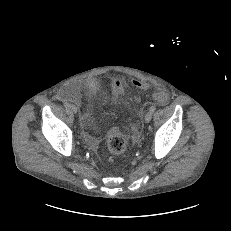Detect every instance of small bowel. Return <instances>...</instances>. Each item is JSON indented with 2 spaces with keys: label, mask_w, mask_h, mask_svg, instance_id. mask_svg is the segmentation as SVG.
I'll list each match as a JSON object with an SVG mask.
<instances>
[{
  "label": "small bowel",
  "mask_w": 231,
  "mask_h": 231,
  "mask_svg": "<svg viewBox=\"0 0 231 231\" xmlns=\"http://www.w3.org/2000/svg\"><path fill=\"white\" fill-rule=\"evenodd\" d=\"M99 88V82L95 78H89L84 82H74L63 90L66 99L74 101L83 111L81 114V123L84 129V137L92 149H97L99 140L89 133L94 127L90 106L84 100V94L91 97ZM120 96V95H117Z\"/></svg>",
  "instance_id": "obj_1"
}]
</instances>
